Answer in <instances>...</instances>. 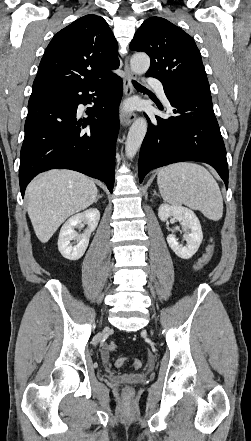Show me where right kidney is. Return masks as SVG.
<instances>
[{
	"label": "right kidney",
	"mask_w": 251,
	"mask_h": 441,
	"mask_svg": "<svg viewBox=\"0 0 251 441\" xmlns=\"http://www.w3.org/2000/svg\"><path fill=\"white\" fill-rule=\"evenodd\" d=\"M99 219V211L96 208H90L65 222L58 238V249L64 258L75 261L83 256L88 247L90 235L96 229ZM83 221L87 222L88 228L79 235L74 227ZM73 240H77L76 244L71 243Z\"/></svg>",
	"instance_id": "1"
}]
</instances>
